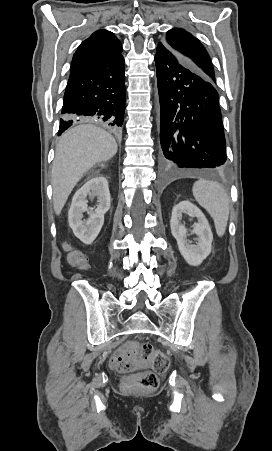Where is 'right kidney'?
Returning <instances> with one entry per match:
<instances>
[{"label":"right kidney","instance_id":"right-kidney-1","mask_svg":"<svg viewBox=\"0 0 272 451\" xmlns=\"http://www.w3.org/2000/svg\"><path fill=\"white\" fill-rule=\"evenodd\" d=\"M87 196L97 198L98 206L94 212L88 210ZM110 204L108 182L103 176L92 178L80 190H77L68 212V222L73 229V233L83 243H92L97 237L104 224V214L108 212ZM83 212H87L89 216L87 220H82Z\"/></svg>","mask_w":272,"mask_h":451}]
</instances>
